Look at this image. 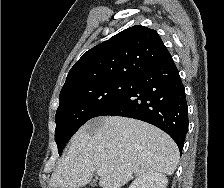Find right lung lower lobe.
<instances>
[{"instance_id": "98d812e1", "label": "right lung lower lobe", "mask_w": 224, "mask_h": 188, "mask_svg": "<svg viewBox=\"0 0 224 188\" xmlns=\"http://www.w3.org/2000/svg\"><path fill=\"white\" fill-rule=\"evenodd\" d=\"M105 115L148 122L169 134L181 153L188 131V106L172 57L132 78L127 93L101 116Z\"/></svg>"}]
</instances>
